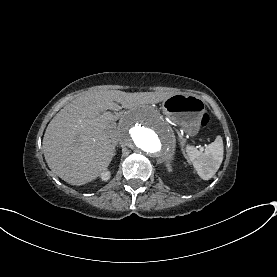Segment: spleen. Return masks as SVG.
Listing matches in <instances>:
<instances>
[{"instance_id":"3e777b00","label":"spleen","mask_w":277,"mask_h":277,"mask_svg":"<svg viewBox=\"0 0 277 277\" xmlns=\"http://www.w3.org/2000/svg\"><path fill=\"white\" fill-rule=\"evenodd\" d=\"M184 149L196 172L204 180H209L222 163L223 140L221 136H217L214 142L205 147L203 152L190 144H186Z\"/></svg>"}]
</instances>
